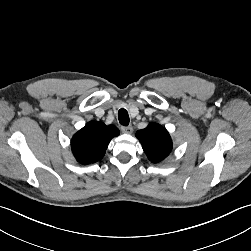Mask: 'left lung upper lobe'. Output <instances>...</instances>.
I'll use <instances>...</instances> for the list:
<instances>
[{"label": "left lung upper lobe", "mask_w": 251, "mask_h": 251, "mask_svg": "<svg viewBox=\"0 0 251 251\" xmlns=\"http://www.w3.org/2000/svg\"><path fill=\"white\" fill-rule=\"evenodd\" d=\"M136 137L153 163L164 160L172 150V140L168 131L157 123H150L146 128L137 131Z\"/></svg>", "instance_id": "obj_1"}]
</instances>
